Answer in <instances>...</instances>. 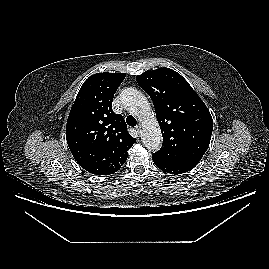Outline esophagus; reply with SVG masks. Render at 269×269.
<instances>
[{"label":"esophagus","mask_w":269,"mask_h":269,"mask_svg":"<svg viewBox=\"0 0 269 269\" xmlns=\"http://www.w3.org/2000/svg\"><path fill=\"white\" fill-rule=\"evenodd\" d=\"M135 129L137 130L138 133H140V131H141V124H138Z\"/></svg>","instance_id":"obj_1"}]
</instances>
